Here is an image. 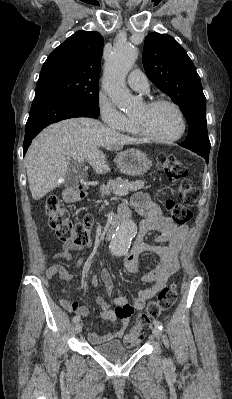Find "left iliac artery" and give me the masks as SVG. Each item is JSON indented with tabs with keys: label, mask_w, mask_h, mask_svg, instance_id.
Instances as JSON below:
<instances>
[{
	"label": "left iliac artery",
	"mask_w": 232,
	"mask_h": 399,
	"mask_svg": "<svg viewBox=\"0 0 232 399\" xmlns=\"http://www.w3.org/2000/svg\"><path fill=\"white\" fill-rule=\"evenodd\" d=\"M153 324H154L155 327H157L159 330H163V329H164L163 323L160 322V321L154 320V321H153Z\"/></svg>",
	"instance_id": "obj_1"
}]
</instances>
